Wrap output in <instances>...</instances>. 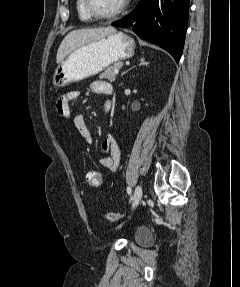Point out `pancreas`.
I'll return each mask as SVG.
<instances>
[{"label": "pancreas", "instance_id": "1", "mask_svg": "<svg viewBox=\"0 0 240 287\" xmlns=\"http://www.w3.org/2000/svg\"><path fill=\"white\" fill-rule=\"evenodd\" d=\"M122 65V62H116L112 66H109L100 76L110 82H114L116 79V73H114V71L120 69Z\"/></svg>", "mask_w": 240, "mask_h": 287}]
</instances>
